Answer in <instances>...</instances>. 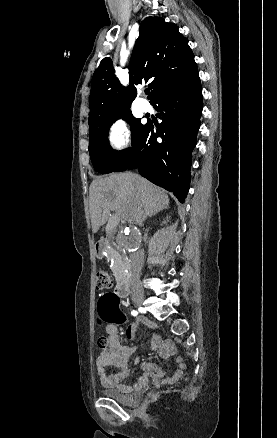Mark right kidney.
<instances>
[{
	"label": "right kidney",
	"instance_id": "right-kidney-1",
	"mask_svg": "<svg viewBox=\"0 0 277 438\" xmlns=\"http://www.w3.org/2000/svg\"><path fill=\"white\" fill-rule=\"evenodd\" d=\"M167 222H169V220H167ZM167 222H163V224H167Z\"/></svg>",
	"mask_w": 277,
	"mask_h": 438
}]
</instances>
